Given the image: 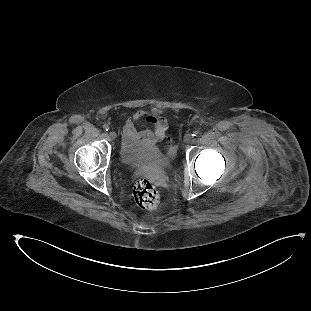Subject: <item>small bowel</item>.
<instances>
[{
  "label": "small bowel",
  "instance_id": "obj_1",
  "mask_svg": "<svg viewBox=\"0 0 311 311\" xmlns=\"http://www.w3.org/2000/svg\"><path fill=\"white\" fill-rule=\"evenodd\" d=\"M141 120H145L153 128L138 131L136 124ZM167 128L166 118L157 109H139L128 118L123 126L124 145L127 148L155 145L163 140Z\"/></svg>",
  "mask_w": 311,
  "mask_h": 311
}]
</instances>
